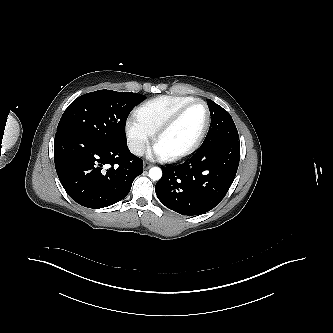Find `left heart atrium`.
<instances>
[{"instance_id":"left-heart-atrium-1","label":"left heart atrium","mask_w":333,"mask_h":333,"mask_svg":"<svg viewBox=\"0 0 333 333\" xmlns=\"http://www.w3.org/2000/svg\"><path fill=\"white\" fill-rule=\"evenodd\" d=\"M157 153H158L159 155H161L159 151H157Z\"/></svg>"}]
</instances>
